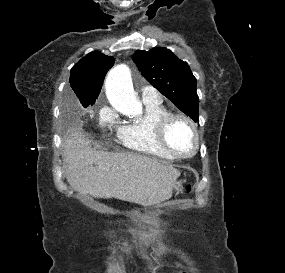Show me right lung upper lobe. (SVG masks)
Here are the masks:
<instances>
[{
	"instance_id": "obj_1",
	"label": "right lung upper lobe",
	"mask_w": 285,
	"mask_h": 273,
	"mask_svg": "<svg viewBox=\"0 0 285 273\" xmlns=\"http://www.w3.org/2000/svg\"><path fill=\"white\" fill-rule=\"evenodd\" d=\"M114 58L98 51L82 58L71 69L70 84L82 105L94 104L107 71L113 66Z\"/></svg>"
}]
</instances>
